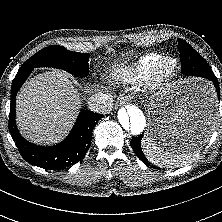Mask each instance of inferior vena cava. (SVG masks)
I'll return each instance as SVG.
<instances>
[{"label":"inferior vena cava","instance_id":"inferior-vena-cava-1","mask_svg":"<svg viewBox=\"0 0 222 222\" xmlns=\"http://www.w3.org/2000/svg\"><path fill=\"white\" fill-rule=\"evenodd\" d=\"M87 104L91 111L106 114L113 107V98L110 94L96 93L89 98Z\"/></svg>","mask_w":222,"mask_h":222}]
</instances>
